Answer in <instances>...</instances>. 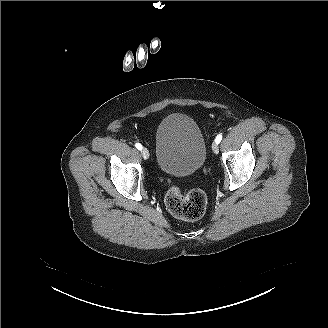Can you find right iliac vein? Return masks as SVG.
<instances>
[{
  "label": "right iliac vein",
  "mask_w": 328,
  "mask_h": 328,
  "mask_svg": "<svg viewBox=\"0 0 328 328\" xmlns=\"http://www.w3.org/2000/svg\"><path fill=\"white\" fill-rule=\"evenodd\" d=\"M141 155L143 156L144 159H148L150 156L149 151L147 150V148L143 147L141 149Z\"/></svg>",
  "instance_id": "right-iliac-vein-1"
}]
</instances>
